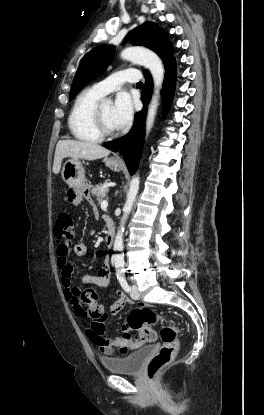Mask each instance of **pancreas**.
<instances>
[{
    "mask_svg": "<svg viewBox=\"0 0 264 415\" xmlns=\"http://www.w3.org/2000/svg\"><path fill=\"white\" fill-rule=\"evenodd\" d=\"M106 192H107V187H105L104 185H101V184L96 185L91 190V193L96 196V198L99 202L102 201V199L104 198Z\"/></svg>",
    "mask_w": 264,
    "mask_h": 415,
    "instance_id": "pancreas-1",
    "label": "pancreas"
}]
</instances>
